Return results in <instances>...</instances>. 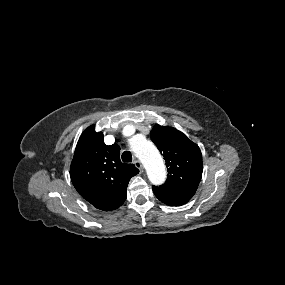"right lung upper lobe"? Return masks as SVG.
Instances as JSON below:
<instances>
[{"label": "right lung upper lobe", "instance_id": "obj_1", "mask_svg": "<svg viewBox=\"0 0 285 285\" xmlns=\"http://www.w3.org/2000/svg\"><path fill=\"white\" fill-rule=\"evenodd\" d=\"M103 137L93 127L82 133L71 162L70 177L89 204L111 211L124 203L129 180L139 171L133 164L122 163L119 146L106 145Z\"/></svg>", "mask_w": 285, "mask_h": 285}]
</instances>
